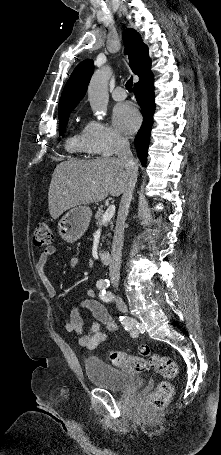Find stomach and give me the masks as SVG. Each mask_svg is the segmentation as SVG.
<instances>
[{
	"instance_id": "0dacf381",
	"label": "stomach",
	"mask_w": 221,
	"mask_h": 455,
	"mask_svg": "<svg viewBox=\"0 0 221 455\" xmlns=\"http://www.w3.org/2000/svg\"><path fill=\"white\" fill-rule=\"evenodd\" d=\"M92 216V210L79 205L68 211L58 222V233L67 243H74L86 232Z\"/></svg>"
}]
</instances>
